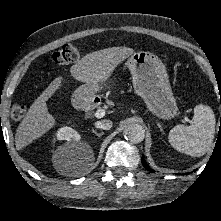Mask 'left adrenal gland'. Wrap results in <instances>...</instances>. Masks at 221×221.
Returning <instances> with one entry per match:
<instances>
[{
    "instance_id": "a2214340",
    "label": "left adrenal gland",
    "mask_w": 221,
    "mask_h": 221,
    "mask_svg": "<svg viewBox=\"0 0 221 221\" xmlns=\"http://www.w3.org/2000/svg\"><path fill=\"white\" fill-rule=\"evenodd\" d=\"M158 127L160 128V131H163L162 127H161V125L159 123H158Z\"/></svg>"
}]
</instances>
